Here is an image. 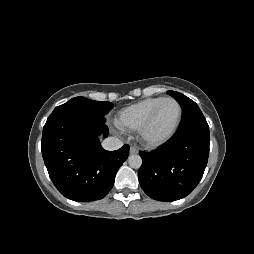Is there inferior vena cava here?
Returning <instances> with one entry per match:
<instances>
[{
  "label": "inferior vena cava",
  "mask_w": 254,
  "mask_h": 254,
  "mask_svg": "<svg viewBox=\"0 0 254 254\" xmlns=\"http://www.w3.org/2000/svg\"><path fill=\"white\" fill-rule=\"evenodd\" d=\"M122 146L123 142L116 137H108L102 142V147L108 151L117 150Z\"/></svg>",
  "instance_id": "1"
}]
</instances>
